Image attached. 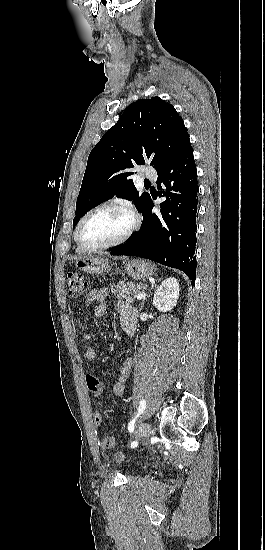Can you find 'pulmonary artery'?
I'll use <instances>...</instances> for the list:
<instances>
[{
  "label": "pulmonary artery",
  "mask_w": 265,
  "mask_h": 550,
  "mask_svg": "<svg viewBox=\"0 0 265 550\" xmlns=\"http://www.w3.org/2000/svg\"><path fill=\"white\" fill-rule=\"evenodd\" d=\"M146 177L148 178H151V179H156L157 177V173L154 169H148L145 173Z\"/></svg>",
  "instance_id": "obj_1"
}]
</instances>
